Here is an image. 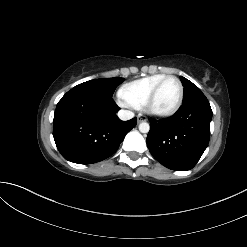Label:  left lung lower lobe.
<instances>
[{"instance_id":"left-lung-lower-lobe-1","label":"left lung lower lobe","mask_w":247,"mask_h":247,"mask_svg":"<svg viewBox=\"0 0 247 247\" xmlns=\"http://www.w3.org/2000/svg\"><path fill=\"white\" fill-rule=\"evenodd\" d=\"M211 117L203 95L183 103L170 118L151 120L147 146L152 156L172 170L192 169L208 146Z\"/></svg>"}]
</instances>
